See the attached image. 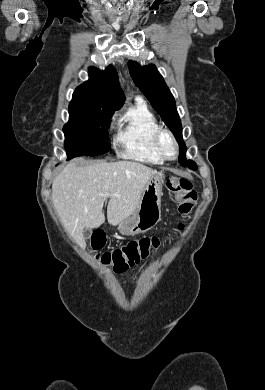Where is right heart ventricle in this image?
<instances>
[{"label": "right heart ventricle", "mask_w": 265, "mask_h": 390, "mask_svg": "<svg viewBox=\"0 0 265 390\" xmlns=\"http://www.w3.org/2000/svg\"><path fill=\"white\" fill-rule=\"evenodd\" d=\"M154 114L142 102L131 106L119 120L114 137L118 154L125 158L149 164H162L153 143V135L159 129Z\"/></svg>", "instance_id": "e07e8e85"}]
</instances>
